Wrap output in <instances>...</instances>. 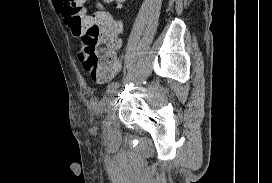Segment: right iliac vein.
Listing matches in <instances>:
<instances>
[{
    "mask_svg": "<svg viewBox=\"0 0 272 183\" xmlns=\"http://www.w3.org/2000/svg\"><path fill=\"white\" fill-rule=\"evenodd\" d=\"M117 93L116 90L110 92V93H107V95L103 98V104H109L112 102L113 100V97L115 96V94Z\"/></svg>",
    "mask_w": 272,
    "mask_h": 183,
    "instance_id": "1",
    "label": "right iliac vein"
}]
</instances>
